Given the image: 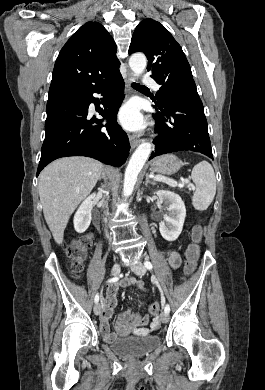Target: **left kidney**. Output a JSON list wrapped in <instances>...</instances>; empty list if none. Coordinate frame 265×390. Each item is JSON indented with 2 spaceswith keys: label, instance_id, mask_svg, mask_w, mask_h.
<instances>
[{
  "label": "left kidney",
  "instance_id": "left-kidney-1",
  "mask_svg": "<svg viewBox=\"0 0 265 390\" xmlns=\"http://www.w3.org/2000/svg\"><path fill=\"white\" fill-rule=\"evenodd\" d=\"M160 204H164L167 214H164L159 230L167 241H175L182 232L186 217L185 204L174 192L159 190L155 192Z\"/></svg>",
  "mask_w": 265,
  "mask_h": 390
}]
</instances>
